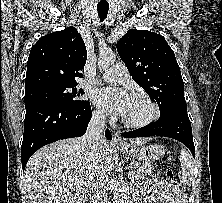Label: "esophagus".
Here are the masks:
<instances>
[{
    "instance_id": "esophagus-1",
    "label": "esophagus",
    "mask_w": 222,
    "mask_h": 203,
    "mask_svg": "<svg viewBox=\"0 0 222 203\" xmlns=\"http://www.w3.org/2000/svg\"><path fill=\"white\" fill-rule=\"evenodd\" d=\"M113 142H114V144H116L118 146L124 145V142L122 141V139L118 133H114Z\"/></svg>"
}]
</instances>
